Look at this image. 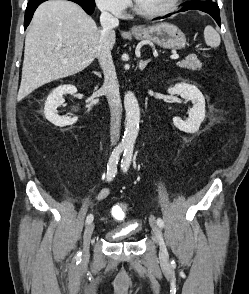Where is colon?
Here are the masks:
<instances>
[{
  "instance_id": "1",
  "label": "colon",
  "mask_w": 249,
  "mask_h": 294,
  "mask_svg": "<svg viewBox=\"0 0 249 294\" xmlns=\"http://www.w3.org/2000/svg\"><path fill=\"white\" fill-rule=\"evenodd\" d=\"M127 212V205L125 203H119L114 207L113 215L117 219H123Z\"/></svg>"
}]
</instances>
